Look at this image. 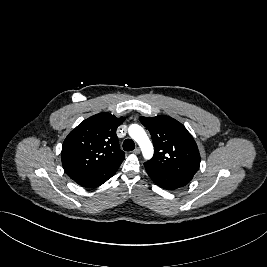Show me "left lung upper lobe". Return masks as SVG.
I'll return each mask as SVG.
<instances>
[{
    "label": "left lung upper lobe",
    "instance_id": "obj_1",
    "mask_svg": "<svg viewBox=\"0 0 267 267\" xmlns=\"http://www.w3.org/2000/svg\"><path fill=\"white\" fill-rule=\"evenodd\" d=\"M149 130L154 156L146 164L166 174L192 180L200 166L197 144L188 130L177 120L159 115L139 118Z\"/></svg>",
    "mask_w": 267,
    "mask_h": 267
}]
</instances>
